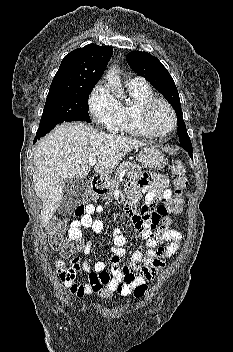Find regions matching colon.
I'll list each match as a JSON object with an SVG mask.
<instances>
[{"mask_svg": "<svg viewBox=\"0 0 233 352\" xmlns=\"http://www.w3.org/2000/svg\"><path fill=\"white\" fill-rule=\"evenodd\" d=\"M172 176L174 178L175 193L169 202V210L173 213H178L181 210L183 204L182 192L188 186V179L186 175V168L180 161H174L171 167ZM92 198L91 193L84 195L83 201H88ZM159 210L166 213L167 210L164 206H160ZM85 211L84 205H79L74 214L79 216ZM172 222L170 219H165L164 224L170 225ZM47 235L49 239V245L51 249L61 255L62 257H69L81 248L80 244H75L71 240L64 236V223L59 220H53L47 227ZM56 270L61 279L66 278L69 275L70 267L67 266L64 260L56 261ZM109 277L104 274L91 272L88 275V283L91 287L93 294L102 297L110 298L113 295L114 290L108 289L106 283ZM148 290V285L142 283L137 285L132 293L135 297H143Z\"/></svg>", "mask_w": 233, "mask_h": 352, "instance_id": "5ec220e1", "label": "colon"}]
</instances>
